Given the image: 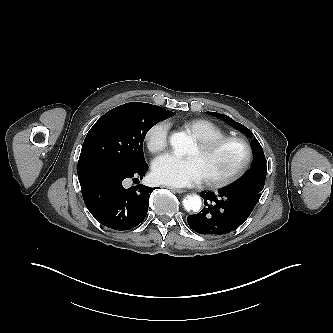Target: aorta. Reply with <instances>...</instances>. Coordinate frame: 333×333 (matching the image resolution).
Segmentation results:
<instances>
[{"label":"aorta","mask_w":333,"mask_h":333,"mask_svg":"<svg viewBox=\"0 0 333 333\" xmlns=\"http://www.w3.org/2000/svg\"><path fill=\"white\" fill-rule=\"evenodd\" d=\"M192 143L191 137L184 132H175L170 137V144L177 156L188 153ZM201 205L202 200L198 195H188L183 199V206L187 211L198 212Z\"/></svg>","instance_id":"762f6f07"}]
</instances>
